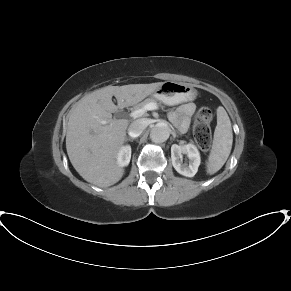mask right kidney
Wrapping results in <instances>:
<instances>
[{
  "mask_svg": "<svg viewBox=\"0 0 291 291\" xmlns=\"http://www.w3.org/2000/svg\"><path fill=\"white\" fill-rule=\"evenodd\" d=\"M131 159V146L130 145H126L123 146L117 155V163L119 166L121 167H125L129 164Z\"/></svg>",
  "mask_w": 291,
  "mask_h": 291,
  "instance_id": "obj_1",
  "label": "right kidney"
}]
</instances>
